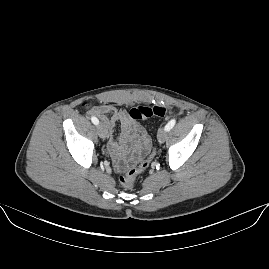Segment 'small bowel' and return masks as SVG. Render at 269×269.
<instances>
[{
	"label": "small bowel",
	"mask_w": 269,
	"mask_h": 269,
	"mask_svg": "<svg viewBox=\"0 0 269 269\" xmlns=\"http://www.w3.org/2000/svg\"><path fill=\"white\" fill-rule=\"evenodd\" d=\"M91 113L102 119L110 133L108 150L118 172L141 162V153L152 150V140L147 130L133 121L124 109L112 104L94 106ZM116 122L120 123V134L113 135Z\"/></svg>",
	"instance_id": "small-bowel-1"
}]
</instances>
